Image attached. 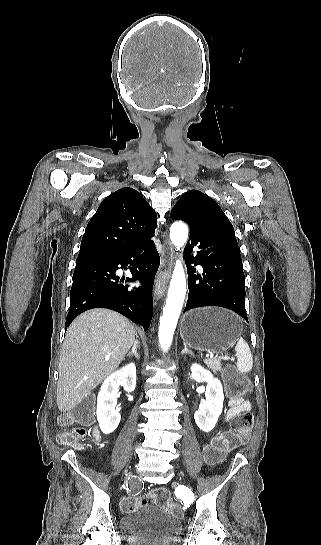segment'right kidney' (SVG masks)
<instances>
[{"instance_id": "1", "label": "right kidney", "mask_w": 321, "mask_h": 545, "mask_svg": "<svg viewBox=\"0 0 321 545\" xmlns=\"http://www.w3.org/2000/svg\"><path fill=\"white\" fill-rule=\"evenodd\" d=\"M122 385L124 391L132 393L136 387V367L134 363H129L126 367H122L120 371H115L110 377L105 379L100 393L97 397V421L104 435H109L117 429L121 415L115 411L117 405L116 395L118 389Z\"/></svg>"}]
</instances>
